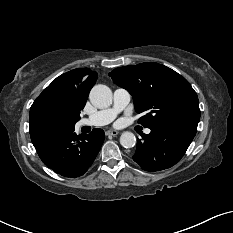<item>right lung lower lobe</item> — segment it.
Masks as SVG:
<instances>
[{
	"mask_svg": "<svg viewBox=\"0 0 233 233\" xmlns=\"http://www.w3.org/2000/svg\"><path fill=\"white\" fill-rule=\"evenodd\" d=\"M75 127L53 129L30 127V137L42 162L64 177L83 175L95 160L104 141V131L94 129L77 136Z\"/></svg>",
	"mask_w": 233,
	"mask_h": 233,
	"instance_id": "obj_1",
	"label": "right lung lower lobe"
}]
</instances>
